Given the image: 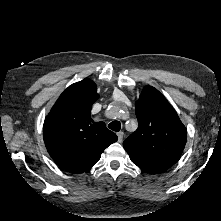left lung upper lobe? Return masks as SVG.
Returning <instances> with one entry per match:
<instances>
[{
	"mask_svg": "<svg viewBox=\"0 0 221 221\" xmlns=\"http://www.w3.org/2000/svg\"><path fill=\"white\" fill-rule=\"evenodd\" d=\"M138 128L123 143L132 162L148 173H160L180 157L187 131L167 99L152 86L136 102Z\"/></svg>",
	"mask_w": 221,
	"mask_h": 221,
	"instance_id": "obj_1",
	"label": "left lung upper lobe"
}]
</instances>
